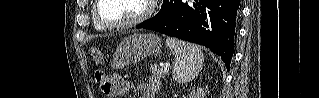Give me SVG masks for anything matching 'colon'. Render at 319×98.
I'll list each match as a JSON object with an SVG mask.
<instances>
[{
  "mask_svg": "<svg viewBox=\"0 0 319 98\" xmlns=\"http://www.w3.org/2000/svg\"><path fill=\"white\" fill-rule=\"evenodd\" d=\"M90 55H91V58L99 63L101 60H102V54H101V51L94 47V48H91L90 50ZM104 77L105 75L101 72V71H96L95 73V80L96 82L99 84V85H102L103 84V81H104Z\"/></svg>",
  "mask_w": 319,
  "mask_h": 98,
  "instance_id": "obj_1",
  "label": "colon"
}]
</instances>
